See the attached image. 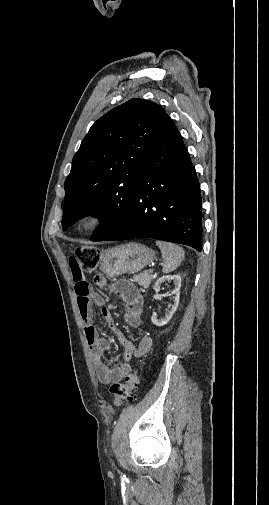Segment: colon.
<instances>
[{
	"mask_svg": "<svg viewBox=\"0 0 269 505\" xmlns=\"http://www.w3.org/2000/svg\"><path fill=\"white\" fill-rule=\"evenodd\" d=\"M70 259H79L81 262V272L83 274H93L99 261V250L94 246H79L75 251V256ZM140 382V375L137 371L126 375L124 382L114 383L109 391L114 399V404L119 406L125 402H130L135 398Z\"/></svg>",
	"mask_w": 269,
	"mask_h": 505,
	"instance_id": "colon-1",
	"label": "colon"
}]
</instances>
